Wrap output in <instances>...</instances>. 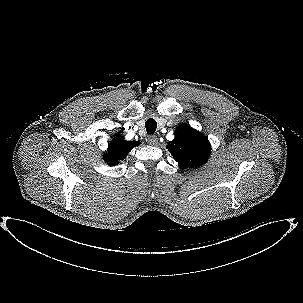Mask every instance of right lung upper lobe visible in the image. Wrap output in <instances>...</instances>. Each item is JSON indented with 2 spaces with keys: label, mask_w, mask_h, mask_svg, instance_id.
<instances>
[{
  "label": "right lung upper lobe",
  "mask_w": 303,
  "mask_h": 303,
  "mask_svg": "<svg viewBox=\"0 0 303 303\" xmlns=\"http://www.w3.org/2000/svg\"><path fill=\"white\" fill-rule=\"evenodd\" d=\"M140 144L139 141H126L123 137L116 136L112 143L108 146V153L104 155V160L113 166L119 160L125 159L127 153Z\"/></svg>",
  "instance_id": "1"
}]
</instances>
